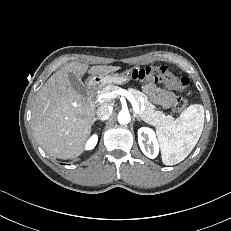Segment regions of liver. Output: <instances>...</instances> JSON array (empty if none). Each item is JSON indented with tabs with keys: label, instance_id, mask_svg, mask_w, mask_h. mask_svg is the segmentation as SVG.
Here are the masks:
<instances>
[{
	"label": "liver",
	"instance_id": "6515ba94",
	"mask_svg": "<svg viewBox=\"0 0 231 231\" xmlns=\"http://www.w3.org/2000/svg\"><path fill=\"white\" fill-rule=\"evenodd\" d=\"M119 66L71 62L55 72L37 92L32 107V128L40 146L58 159L80 156L91 134L95 109L72 87L69 73L81 77L109 74Z\"/></svg>",
	"mask_w": 231,
	"mask_h": 231
}]
</instances>
